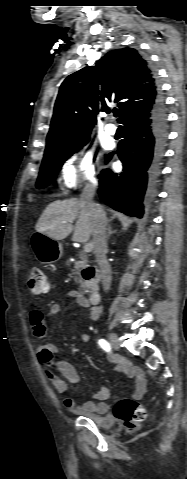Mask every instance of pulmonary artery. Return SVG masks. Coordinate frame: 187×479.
<instances>
[{
  "instance_id": "1",
  "label": "pulmonary artery",
  "mask_w": 187,
  "mask_h": 479,
  "mask_svg": "<svg viewBox=\"0 0 187 479\" xmlns=\"http://www.w3.org/2000/svg\"><path fill=\"white\" fill-rule=\"evenodd\" d=\"M105 131H106L109 135H115L116 132H117V127H116V125H114V124H112V123H109V124L106 125Z\"/></svg>"
}]
</instances>
